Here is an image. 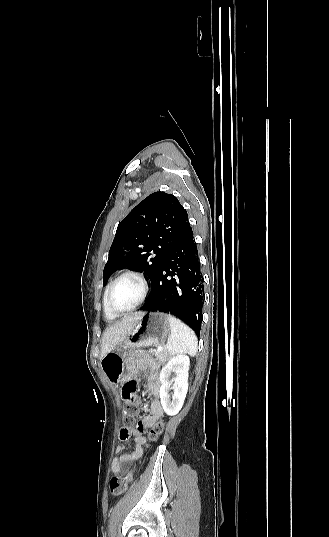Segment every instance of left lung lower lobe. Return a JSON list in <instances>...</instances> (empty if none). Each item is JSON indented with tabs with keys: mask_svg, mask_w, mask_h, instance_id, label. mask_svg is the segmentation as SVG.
I'll return each instance as SVG.
<instances>
[{
	"mask_svg": "<svg viewBox=\"0 0 329 537\" xmlns=\"http://www.w3.org/2000/svg\"><path fill=\"white\" fill-rule=\"evenodd\" d=\"M202 300L203 278L190 227L156 270L151 291L141 310L173 314L199 335Z\"/></svg>",
	"mask_w": 329,
	"mask_h": 537,
	"instance_id": "0a47b994",
	"label": "left lung lower lobe"
}]
</instances>
